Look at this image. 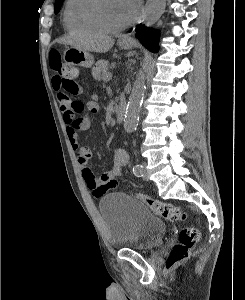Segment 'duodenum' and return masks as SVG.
I'll return each mask as SVG.
<instances>
[{"mask_svg":"<svg viewBox=\"0 0 245 300\" xmlns=\"http://www.w3.org/2000/svg\"><path fill=\"white\" fill-rule=\"evenodd\" d=\"M125 116V105L122 99H119L116 109V121L122 123Z\"/></svg>","mask_w":245,"mask_h":300,"instance_id":"410a0bca","label":"duodenum"}]
</instances>
